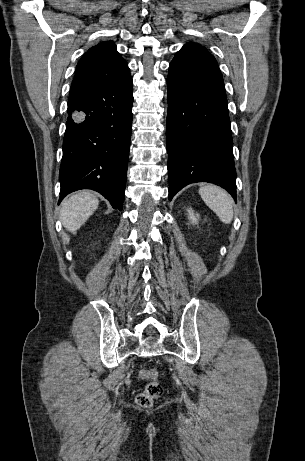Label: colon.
<instances>
[{"label": "colon", "mask_w": 305, "mask_h": 461, "mask_svg": "<svg viewBox=\"0 0 305 461\" xmlns=\"http://www.w3.org/2000/svg\"><path fill=\"white\" fill-rule=\"evenodd\" d=\"M140 377L148 383L144 390L136 396V402L139 406L147 408L162 397L163 387L159 381V373L155 369H142Z\"/></svg>", "instance_id": "1"}]
</instances>
